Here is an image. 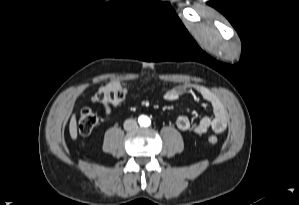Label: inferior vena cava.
<instances>
[{
	"instance_id": "inferior-vena-cava-1",
	"label": "inferior vena cava",
	"mask_w": 299,
	"mask_h": 205,
	"mask_svg": "<svg viewBox=\"0 0 299 205\" xmlns=\"http://www.w3.org/2000/svg\"><path fill=\"white\" fill-rule=\"evenodd\" d=\"M137 126V122L134 119H127L124 122V129L127 131L135 129Z\"/></svg>"
}]
</instances>
